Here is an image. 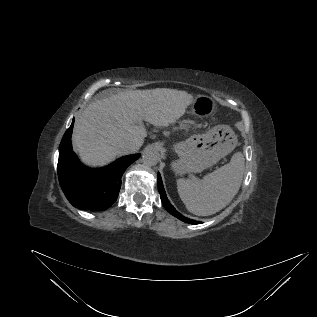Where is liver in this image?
<instances>
[{"label": "liver", "mask_w": 317, "mask_h": 317, "mask_svg": "<svg viewBox=\"0 0 317 317\" xmlns=\"http://www.w3.org/2000/svg\"><path fill=\"white\" fill-rule=\"evenodd\" d=\"M185 91L156 88L112 94L89 104L75 119L72 142L83 163L104 166L121 156L119 146H142L147 131L143 121L168 127L193 102Z\"/></svg>", "instance_id": "obj_1"}]
</instances>
